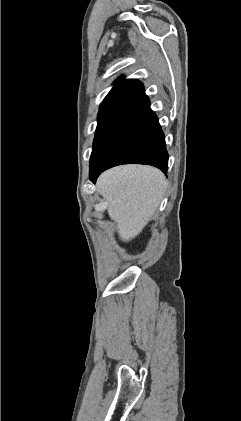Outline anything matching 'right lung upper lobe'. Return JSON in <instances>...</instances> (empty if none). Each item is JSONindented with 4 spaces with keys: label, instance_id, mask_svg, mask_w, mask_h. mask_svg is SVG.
I'll return each instance as SVG.
<instances>
[{
    "label": "right lung upper lobe",
    "instance_id": "obj_1",
    "mask_svg": "<svg viewBox=\"0 0 241 421\" xmlns=\"http://www.w3.org/2000/svg\"><path fill=\"white\" fill-rule=\"evenodd\" d=\"M144 94L143 84L136 79H119L100 105V110L120 105H133Z\"/></svg>",
    "mask_w": 241,
    "mask_h": 421
}]
</instances>
